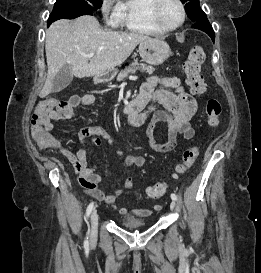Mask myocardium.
<instances>
[{
    "label": "myocardium",
    "mask_w": 261,
    "mask_h": 273,
    "mask_svg": "<svg viewBox=\"0 0 261 273\" xmlns=\"http://www.w3.org/2000/svg\"><path fill=\"white\" fill-rule=\"evenodd\" d=\"M165 1L166 0H154L153 5L151 6V13H150L151 20L162 31L172 32V31L177 30L178 28H180L183 25L185 18H186V10H185L184 4L182 3L181 0H173L178 5V7L180 9L181 19H180L179 23L176 24L175 26H172V27L166 26L161 21V18H160V10H161L162 5L164 4Z\"/></svg>",
    "instance_id": "1"
}]
</instances>
